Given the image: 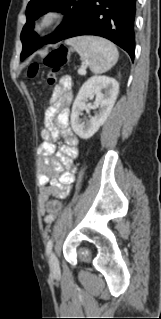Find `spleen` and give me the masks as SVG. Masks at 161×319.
Returning <instances> with one entry per match:
<instances>
[{
    "mask_svg": "<svg viewBox=\"0 0 161 319\" xmlns=\"http://www.w3.org/2000/svg\"><path fill=\"white\" fill-rule=\"evenodd\" d=\"M69 44L85 59L86 65L95 74L108 71L118 61L117 48L101 37H76L70 39Z\"/></svg>",
    "mask_w": 161,
    "mask_h": 319,
    "instance_id": "3e777b00",
    "label": "spleen"
}]
</instances>
